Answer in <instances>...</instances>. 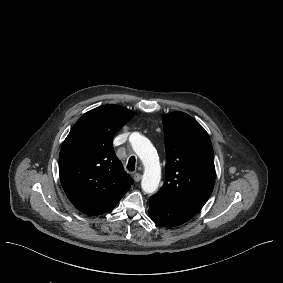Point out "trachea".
I'll return each instance as SVG.
<instances>
[{"label": "trachea", "instance_id": "3493384b", "mask_svg": "<svg viewBox=\"0 0 283 283\" xmlns=\"http://www.w3.org/2000/svg\"><path fill=\"white\" fill-rule=\"evenodd\" d=\"M135 163H136V158L134 156L130 157L127 164V169L133 172L135 170Z\"/></svg>", "mask_w": 283, "mask_h": 283}]
</instances>
